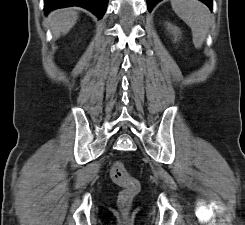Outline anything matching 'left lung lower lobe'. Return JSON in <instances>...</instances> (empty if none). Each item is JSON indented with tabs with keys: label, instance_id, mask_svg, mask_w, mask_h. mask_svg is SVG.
<instances>
[{
	"label": "left lung lower lobe",
	"instance_id": "left-lung-lower-lobe-1",
	"mask_svg": "<svg viewBox=\"0 0 245 225\" xmlns=\"http://www.w3.org/2000/svg\"><path fill=\"white\" fill-rule=\"evenodd\" d=\"M161 0H147L148 11H151L154 5H156ZM205 3L210 9H212V0H200Z\"/></svg>",
	"mask_w": 245,
	"mask_h": 225
}]
</instances>
